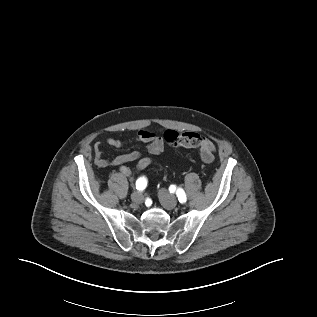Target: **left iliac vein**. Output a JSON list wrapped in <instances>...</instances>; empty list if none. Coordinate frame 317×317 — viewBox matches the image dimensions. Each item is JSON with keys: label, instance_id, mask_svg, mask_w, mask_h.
<instances>
[{"label": "left iliac vein", "instance_id": "4c4485c4", "mask_svg": "<svg viewBox=\"0 0 317 317\" xmlns=\"http://www.w3.org/2000/svg\"><path fill=\"white\" fill-rule=\"evenodd\" d=\"M158 197L162 206L166 209H173L177 205L176 197L164 188L158 191Z\"/></svg>", "mask_w": 317, "mask_h": 317}]
</instances>
